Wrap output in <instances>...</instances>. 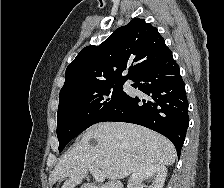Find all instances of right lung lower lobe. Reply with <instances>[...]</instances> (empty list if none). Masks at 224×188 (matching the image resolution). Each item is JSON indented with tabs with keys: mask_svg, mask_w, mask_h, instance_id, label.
<instances>
[{
	"mask_svg": "<svg viewBox=\"0 0 224 188\" xmlns=\"http://www.w3.org/2000/svg\"><path fill=\"white\" fill-rule=\"evenodd\" d=\"M132 81L131 86L142 91L144 97L127 95L101 122H129L152 129L175 145L179 158L189 125L188 100L172 54Z\"/></svg>",
	"mask_w": 224,
	"mask_h": 188,
	"instance_id": "obj_1",
	"label": "right lung lower lobe"
}]
</instances>
